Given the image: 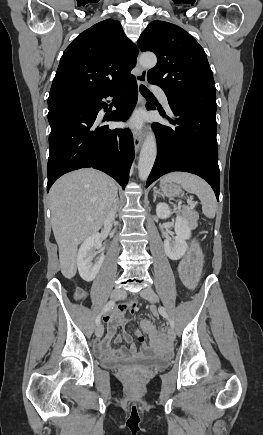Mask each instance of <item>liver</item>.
Here are the masks:
<instances>
[{"instance_id":"obj_1","label":"liver","mask_w":263,"mask_h":435,"mask_svg":"<svg viewBox=\"0 0 263 435\" xmlns=\"http://www.w3.org/2000/svg\"><path fill=\"white\" fill-rule=\"evenodd\" d=\"M117 190L112 178L91 168L68 173L51 187L52 229L61 272L67 279L77 272L78 245L103 226L117 202Z\"/></svg>"}]
</instances>
